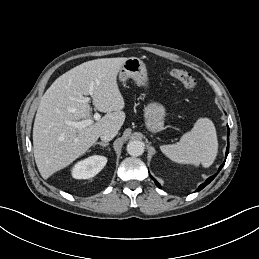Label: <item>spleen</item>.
I'll list each match as a JSON object with an SVG mask.
<instances>
[{
  "label": "spleen",
  "mask_w": 259,
  "mask_h": 259,
  "mask_svg": "<svg viewBox=\"0 0 259 259\" xmlns=\"http://www.w3.org/2000/svg\"><path fill=\"white\" fill-rule=\"evenodd\" d=\"M161 151L179 164H192L207 168L217 156L218 141L213 123L207 118H199L194 127L182 135L177 144L162 145Z\"/></svg>",
  "instance_id": "3e777b00"
}]
</instances>
